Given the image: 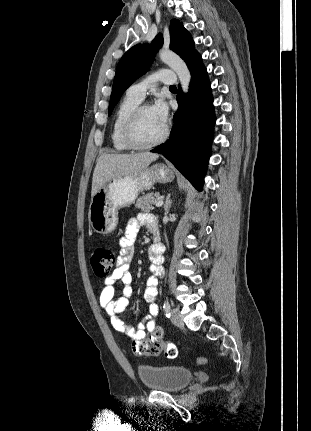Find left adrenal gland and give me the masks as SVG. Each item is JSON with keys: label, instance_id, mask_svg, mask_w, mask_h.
<instances>
[{"label": "left adrenal gland", "instance_id": "obj_1", "mask_svg": "<svg viewBox=\"0 0 311 431\" xmlns=\"http://www.w3.org/2000/svg\"><path fill=\"white\" fill-rule=\"evenodd\" d=\"M170 196H171V194H168V196L165 200V204H164L165 214H169V210L173 204L172 200H170Z\"/></svg>", "mask_w": 311, "mask_h": 431}]
</instances>
